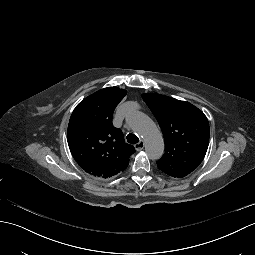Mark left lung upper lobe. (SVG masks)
I'll list each match as a JSON object with an SVG mask.
<instances>
[{
	"label": "left lung upper lobe",
	"instance_id": "left-lung-upper-lobe-1",
	"mask_svg": "<svg viewBox=\"0 0 255 255\" xmlns=\"http://www.w3.org/2000/svg\"><path fill=\"white\" fill-rule=\"evenodd\" d=\"M156 117L165 140V153L158 168L171 177L183 178L205 157L209 144V122L192 104L159 94H143Z\"/></svg>",
	"mask_w": 255,
	"mask_h": 255
}]
</instances>
